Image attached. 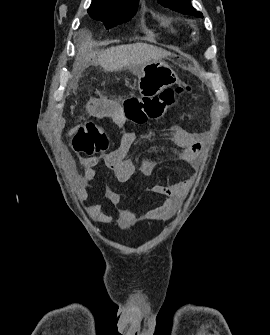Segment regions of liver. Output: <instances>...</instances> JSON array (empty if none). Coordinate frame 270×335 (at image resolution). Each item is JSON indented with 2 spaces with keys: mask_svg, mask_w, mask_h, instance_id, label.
I'll list each match as a JSON object with an SVG mask.
<instances>
[{
  "mask_svg": "<svg viewBox=\"0 0 270 335\" xmlns=\"http://www.w3.org/2000/svg\"><path fill=\"white\" fill-rule=\"evenodd\" d=\"M170 52L150 46V44H126V46H115L105 50L103 54L98 56V64L106 72H118L123 68H129L133 72H140L143 64L147 62H156L160 58H166ZM96 54L92 48H89L88 42H80L78 46V56L76 58V66H80V62H91Z\"/></svg>",
  "mask_w": 270,
  "mask_h": 335,
  "instance_id": "1",
  "label": "liver"
}]
</instances>
